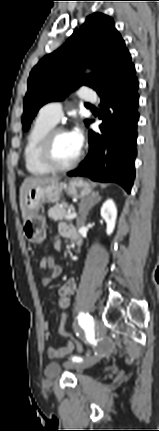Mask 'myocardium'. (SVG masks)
<instances>
[{
    "label": "myocardium",
    "instance_id": "f54148a6",
    "mask_svg": "<svg viewBox=\"0 0 159 431\" xmlns=\"http://www.w3.org/2000/svg\"><path fill=\"white\" fill-rule=\"evenodd\" d=\"M66 130L62 127H53L45 135L41 146H40V158L41 161L52 171V172H65L73 169L77 166L82 158V151L80 150L76 158L69 164H59L53 155V146L55 138L60 133H65Z\"/></svg>",
    "mask_w": 159,
    "mask_h": 431
}]
</instances>
